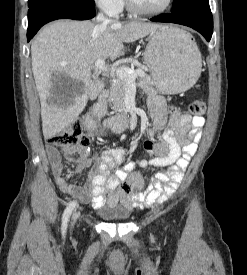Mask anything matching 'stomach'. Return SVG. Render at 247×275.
<instances>
[{
    "mask_svg": "<svg viewBox=\"0 0 247 275\" xmlns=\"http://www.w3.org/2000/svg\"><path fill=\"white\" fill-rule=\"evenodd\" d=\"M187 35L177 27L165 26L150 36L144 60L156 89L162 94L184 92L200 75L201 54Z\"/></svg>",
    "mask_w": 247,
    "mask_h": 275,
    "instance_id": "0dacf381",
    "label": "stomach"
}]
</instances>
